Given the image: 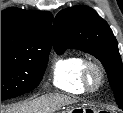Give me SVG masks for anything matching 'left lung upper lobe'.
Masks as SVG:
<instances>
[{
	"label": "left lung upper lobe",
	"instance_id": "obj_1",
	"mask_svg": "<svg viewBox=\"0 0 123 113\" xmlns=\"http://www.w3.org/2000/svg\"><path fill=\"white\" fill-rule=\"evenodd\" d=\"M83 50L104 65L119 108L123 109V66L112 30L93 9L75 6L60 11L54 20V49Z\"/></svg>",
	"mask_w": 123,
	"mask_h": 113
}]
</instances>
